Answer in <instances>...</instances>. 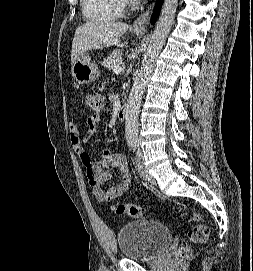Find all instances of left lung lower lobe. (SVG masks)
Returning a JSON list of instances; mask_svg holds the SVG:
<instances>
[{
  "mask_svg": "<svg viewBox=\"0 0 253 271\" xmlns=\"http://www.w3.org/2000/svg\"><path fill=\"white\" fill-rule=\"evenodd\" d=\"M162 2H163V0H157V2H156L155 9H154V12H153V15L151 18L152 24H154V22L157 19Z\"/></svg>",
  "mask_w": 253,
  "mask_h": 271,
  "instance_id": "left-lung-lower-lobe-1",
  "label": "left lung lower lobe"
}]
</instances>
